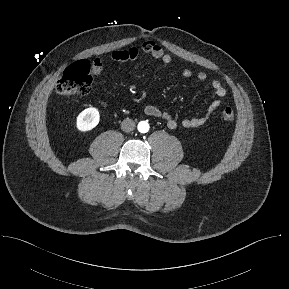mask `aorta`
I'll use <instances>...</instances> for the list:
<instances>
[{"label": "aorta", "instance_id": "1", "mask_svg": "<svg viewBox=\"0 0 289 289\" xmlns=\"http://www.w3.org/2000/svg\"><path fill=\"white\" fill-rule=\"evenodd\" d=\"M138 130L141 133H146L149 130V124L146 121H141L138 124Z\"/></svg>", "mask_w": 289, "mask_h": 289}]
</instances>
